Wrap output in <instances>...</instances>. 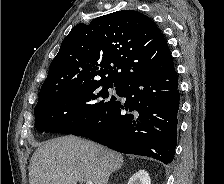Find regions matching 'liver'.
Listing matches in <instances>:
<instances>
[{
  "instance_id": "liver-1",
  "label": "liver",
  "mask_w": 224,
  "mask_h": 184,
  "mask_svg": "<svg viewBox=\"0 0 224 184\" xmlns=\"http://www.w3.org/2000/svg\"><path fill=\"white\" fill-rule=\"evenodd\" d=\"M123 156L88 140L64 136L46 141L31 157L29 184H108Z\"/></svg>"
}]
</instances>
